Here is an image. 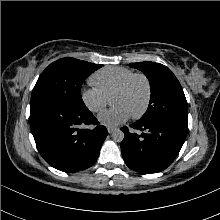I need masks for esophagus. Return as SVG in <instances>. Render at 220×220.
Wrapping results in <instances>:
<instances>
[{
    "mask_svg": "<svg viewBox=\"0 0 220 220\" xmlns=\"http://www.w3.org/2000/svg\"><path fill=\"white\" fill-rule=\"evenodd\" d=\"M116 130V128H114V127H108L107 128V131H108V133H112V132H114Z\"/></svg>",
    "mask_w": 220,
    "mask_h": 220,
    "instance_id": "34e87169",
    "label": "esophagus"
}]
</instances>
